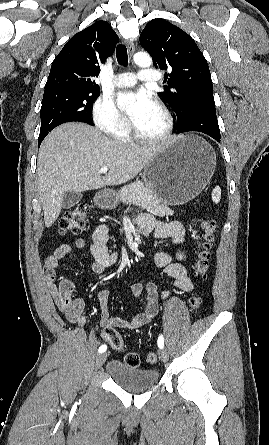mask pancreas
<instances>
[{
    "label": "pancreas",
    "mask_w": 269,
    "mask_h": 445,
    "mask_svg": "<svg viewBox=\"0 0 269 445\" xmlns=\"http://www.w3.org/2000/svg\"><path fill=\"white\" fill-rule=\"evenodd\" d=\"M119 198L124 204H134L156 216L173 215V211L158 199L142 182H134L119 191Z\"/></svg>",
    "instance_id": "1"
}]
</instances>
